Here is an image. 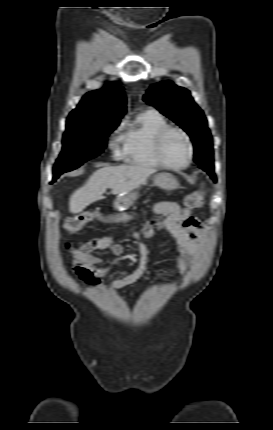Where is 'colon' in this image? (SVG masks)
Returning a JSON list of instances; mask_svg holds the SVG:
<instances>
[{
	"label": "colon",
	"mask_w": 273,
	"mask_h": 430,
	"mask_svg": "<svg viewBox=\"0 0 273 430\" xmlns=\"http://www.w3.org/2000/svg\"><path fill=\"white\" fill-rule=\"evenodd\" d=\"M205 197V191L200 190L196 191L190 194H187L184 197L183 203L185 206V211H192L200 209L203 205ZM130 216L128 215H115L113 217H108L103 215L101 212L98 211H85L83 213H80L76 216L71 217L67 223L65 224V229L69 233H76L79 231L85 224L90 223L92 221L98 220V221H110V220H126L129 219ZM66 247H69L68 244H66ZM83 252H89V249L86 244L81 245L79 247L71 249V254L73 259L74 258H81V253ZM93 284V283H91ZM90 284V285H91ZM99 287V286H95Z\"/></svg>",
	"instance_id": "1"
}]
</instances>
